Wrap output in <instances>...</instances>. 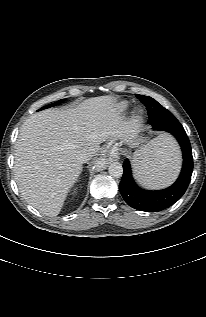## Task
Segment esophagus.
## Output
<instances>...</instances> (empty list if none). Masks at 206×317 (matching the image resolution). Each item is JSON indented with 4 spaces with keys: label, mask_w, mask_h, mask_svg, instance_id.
<instances>
[{
    "label": "esophagus",
    "mask_w": 206,
    "mask_h": 317,
    "mask_svg": "<svg viewBox=\"0 0 206 317\" xmlns=\"http://www.w3.org/2000/svg\"><path fill=\"white\" fill-rule=\"evenodd\" d=\"M106 155L105 154H100L99 160H106Z\"/></svg>",
    "instance_id": "esophagus-1"
}]
</instances>
